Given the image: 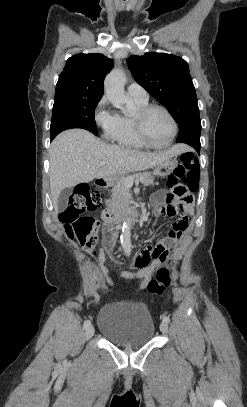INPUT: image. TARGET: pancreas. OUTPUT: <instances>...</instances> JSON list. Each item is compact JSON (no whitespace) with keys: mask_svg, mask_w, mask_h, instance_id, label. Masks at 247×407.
<instances>
[{"mask_svg":"<svg viewBox=\"0 0 247 407\" xmlns=\"http://www.w3.org/2000/svg\"><path fill=\"white\" fill-rule=\"evenodd\" d=\"M130 177L139 179L145 186H150L154 183V177L147 172L138 173ZM125 179V177L120 178L113 186L111 190V200H109L111 206L120 207L129 205L130 194L129 189L125 184Z\"/></svg>","mask_w":247,"mask_h":407,"instance_id":"obj_1","label":"pancreas"}]
</instances>
